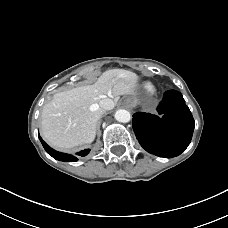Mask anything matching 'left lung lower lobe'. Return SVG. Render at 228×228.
<instances>
[{"label":"left lung lower lobe","mask_w":228,"mask_h":228,"mask_svg":"<svg viewBox=\"0 0 228 228\" xmlns=\"http://www.w3.org/2000/svg\"><path fill=\"white\" fill-rule=\"evenodd\" d=\"M157 111L160 116L138 112L132 126L140 145L156 156L180 155L192 139L195 121L181 93L169 90Z\"/></svg>","instance_id":"obj_1"}]
</instances>
